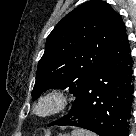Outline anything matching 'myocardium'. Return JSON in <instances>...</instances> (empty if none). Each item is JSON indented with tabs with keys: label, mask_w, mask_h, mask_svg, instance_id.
<instances>
[{
	"label": "myocardium",
	"mask_w": 136,
	"mask_h": 136,
	"mask_svg": "<svg viewBox=\"0 0 136 136\" xmlns=\"http://www.w3.org/2000/svg\"><path fill=\"white\" fill-rule=\"evenodd\" d=\"M68 104L67 93L60 88H53L44 92L35 100L32 111L38 118L45 119L62 113Z\"/></svg>",
	"instance_id": "obj_1"
}]
</instances>
